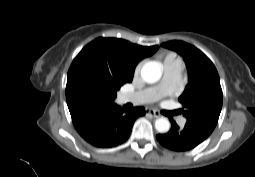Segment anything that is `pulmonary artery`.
I'll return each mask as SVG.
<instances>
[{"mask_svg":"<svg viewBox=\"0 0 255 177\" xmlns=\"http://www.w3.org/2000/svg\"><path fill=\"white\" fill-rule=\"evenodd\" d=\"M180 80V72H165L162 81L153 88H148L135 93H125L120 96L123 103L143 104L158 100L159 98L172 93ZM185 118L179 119V124L185 123Z\"/></svg>","mask_w":255,"mask_h":177,"instance_id":"pulmonary-artery-1","label":"pulmonary artery"}]
</instances>
